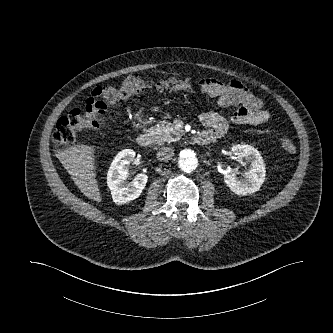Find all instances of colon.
<instances>
[{
  "label": "colon",
  "instance_id": "5ec220e1",
  "mask_svg": "<svg viewBox=\"0 0 333 333\" xmlns=\"http://www.w3.org/2000/svg\"><path fill=\"white\" fill-rule=\"evenodd\" d=\"M190 85L188 78L151 79L130 76L118 87L98 86L93 89L86 99L83 108L73 109L69 114L58 120L52 134L54 147L56 151H60L74 141L78 130L98 127L109 104L126 100L151 88L172 92L189 89ZM280 143L287 154L294 155L296 153V146L290 138L283 137Z\"/></svg>",
  "mask_w": 333,
  "mask_h": 333
}]
</instances>
